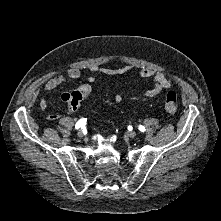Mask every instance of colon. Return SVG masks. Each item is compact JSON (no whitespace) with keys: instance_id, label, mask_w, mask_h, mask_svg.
Wrapping results in <instances>:
<instances>
[{"instance_id":"obj_1","label":"colon","mask_w":221,"mask_h":221,"mask_svg":"<svg viewBox=\"0 0 221 221\" xmlns=\"http://www.w3.org/2000/svg\"><path fill=\"white\" fill-rule=\"evenodd\" d=\"M91 92L89 86H83L79 88L72 96V104L74 106L78 105L84 97L88 96ZM177 110V96L173 91H169L165 95V111L169 117H172Z\"/></svg>"}]
</instances>
